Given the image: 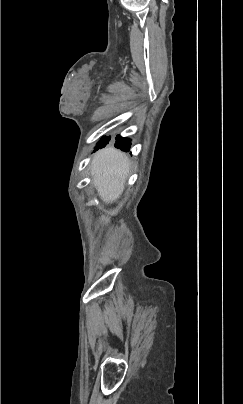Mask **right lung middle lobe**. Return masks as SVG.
Segmentation results:
<instances>
[{
  "instance_id": "1",
  "label": "right lung middle lobe",
  "mask_w": 243,
  "mask_h": 404,
  "mask_svg": "<svg viewBox=\"0 0 243 404\" xmlns=\"http://www.w3.org/2000/svg\"><path fill=\"white\" fill-rule=\"evenodd\" d=\"M109 140H110V137H105L103 140H101V141L97 144L95 150H98V148H103V147L108 143Z\"/></svg>"
}]
</instances>
